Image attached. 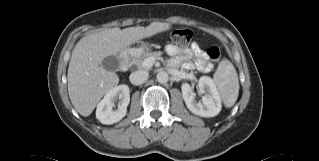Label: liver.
<instances>
[{
    "instance_id": "obj_1",
    "label": "liver",
    "mask_w": 319,
    "mask_h": 161,
    "mask_svg": "<svg viewBox=\"0 0 319 161\" xmlns=\"http://www.w3.org/2000/svg\"><path fill=\"white\" fill-rule=\"evenodd\" d=\"M170 28L169 23L152 22L147 27H116L80 39L72 51L67 73L68 94L76 111L89 116L100 99L118 84L117 74L102 66L106 57Z\"/></svg>"
}]
</instances>
